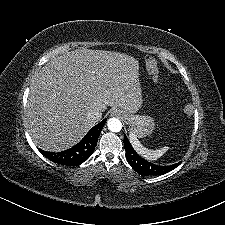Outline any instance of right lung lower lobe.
Masks as SVG:
<instances>
[{
  "label": "right lung lower lobe",
  "mask_w": 225,
  "mask_h": 225,
  "mask_svg": "<svg viewBox=\"0 0 225 225\" xmlns=\"http://www.w3.org/2000/svg\"><path fill=\"white\" fill-rule=\"evenodd\" d=\"M107 119L90 129L86 136L75 146L65 151L53 153L38 149L49 160L66 166H77L86 161L94 152L98 137Z\"/></svg>",
  "instance_id": "obj_1"
}]
</instances>
